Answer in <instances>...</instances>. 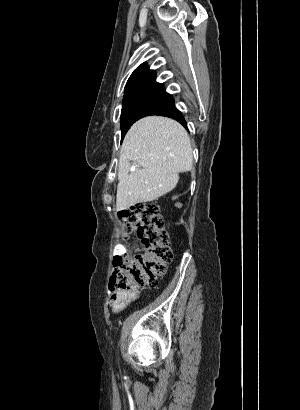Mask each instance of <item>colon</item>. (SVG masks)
Masks as SVG:
<instances>
[{
    "instance_id": "5ec220e1",
    "label": "colon",
    "mask_w": 300,
    "mask_h": 410,
    "mask_svg": "<svg viewBox=\"0 0 300 410\" xmlns=\"http://www.w3.org/2000/svg\"><path fill=\"white\" fill-rule=\"evenodd\" d=\"M119 217L127 232L136 235L144 251L115 258L110 288L114 292H129L138 286L156 287L173 257L159 206L138 203L121 211Z\"/></svg>"
}]
</instances>
